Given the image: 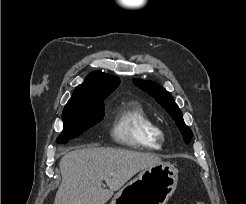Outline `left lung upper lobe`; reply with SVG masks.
Returning a JSON list of instances; mask_svg holds the SVG:
<instances>
[{
	"mask_svg": "<svg viewBox=\"0 0 246 204\" xmlns=\"http://www.w3.org/2000/svg\"><path fill=\"white\" fill-rule=\"evenodd\" d=\"M133 83L143 91L147 92L150 96L155 98V100L166 109V111L170 114V116L176 122V125L178 126L179 130L181 131L184 142L186 144H189L192 138V131L184 123L182 113L178 105L172 98L171 94L168 91H166L165 88L151 81L133 79Z\"/></svg>",
	"mask_w": 246,
	"mask_h": 204,
	"instance_id": "5c2ea615",
	"label": "left lung upper lobe"
}]
</instances>
